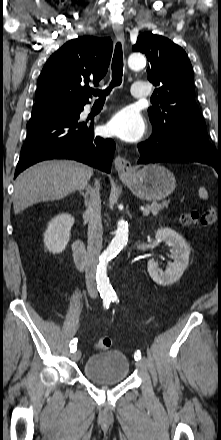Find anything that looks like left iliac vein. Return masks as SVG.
I'll use <instances>...</instances> for the list:
<instances>
[{
	"mask_svg": "<svg viewBox=\"0 0 221 440\" xmlns=\"http://www.w3.org/2000/svg\"><path fill=\"white\" fill-rule=\"evenodd\" d=\"M136 366H137L139 369L143 370V369L145 368V362L142 361V360H138V361L136 362Z\"/></svg>",
	"mask_w": 221,
	"mask_h": 440,
	"instance_id": "left-iliac-vein-1",
	"label": "left iliac vein"
}]
</instances>
